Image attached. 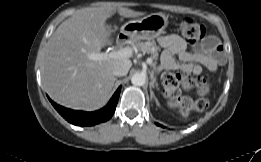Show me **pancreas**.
Returning a JSON list of instances; mask_svg holds the SVG:
<instances>
[{
  "mask_svg": "<svg viewBox=\"0 0 261 162\" xmlns=\"http://www.w3.org/2000/svg\"><path fill=\"white\" fill-rule=\"evenodd\" d=\"M135 47L144 53H150L153 59L151 66L153 69L156 68L160 47L156 45L155 41H146V42H136L134 43Z\"/></svg>",
  "mask_w": 261,
  "mask_h": 162,
  "instance_id": "obj_1",
  "label": "pancreas"
}]
</instances>
